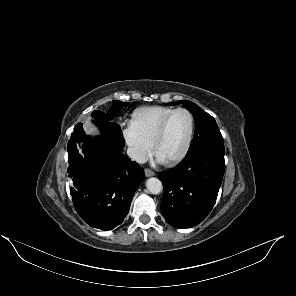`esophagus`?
Here are the masks:
<instances>
[{"label":"esophagus","instance_id":"1","mask_svg":"<svg viewBox=\"0 0 296 296\" xmlns=\"http://www.w3.org/2000/svg\"><path fill=\"white\" fill-rule=\"evenodd\" d=\"M145 176L146 177H152V176H154L155 175V172H153L152 170H150V169H145Z\"/></svg>","mask_w":296,"mask_h":296}]
</instances>
